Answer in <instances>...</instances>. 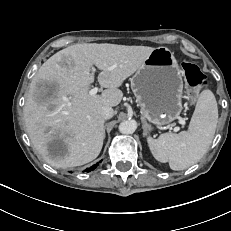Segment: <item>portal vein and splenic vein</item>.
Listing matches in <instances>:
<instances>
[{
    "label": "portal vein and splenic vein",
    "instance_id": "obj_1",
    "mask_svg": "<svg viewBox=\"0 0 231 231\" xmlns=\"http://www.w3.org/2000/svg\"><path fill=\"white\" fill-rule=\"evenodd\" d=\"M109 69H111V68H109ZM98 91H99V88H98V87H94L93 89H91V90L89 91V94H90L91 96H94V95L97 94ZM180 124L184 125V124H185V121H184L183 119H181V120H180Z\"/></svg>",
    "mask_w": 231,
    "mask_h": 231
}]
</instances>
